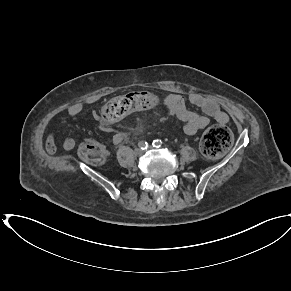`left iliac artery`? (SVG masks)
<instances>
[{"instance_id":"obj_1","label":"left iliac artery","mask_w":291,"mask_h":291,"mask_svg":"<svg viewBox=\"0 0 291 291\" xmlns=\"http://www.w3.org/2000/svg\"><path fill=\"white\" fill-rule=\"evenodd\" d=\"M162 144H163V142H162L160 139H155V140H153V142H152L153 147H156V148L161 147Z\"/></svg>"}]
</instances>
